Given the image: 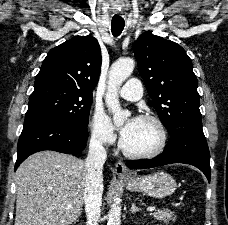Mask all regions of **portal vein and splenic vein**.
Segmentation results:
<instances>
[{
	"label": "portal vein and splenic vein",
	"mask_w": 228,
	"mask_h": 225,
	"mask_svg": "<svg viewBox=\"0 0 228 225\" xmlns=\"http://www.w3.org/2000/svg\"><path fill=\"white\" fill-rule=\"evenodd\" d=\"M68 207H71V205H68ZM173 207H183V202H173ZM146 211H156V209L155 207H148Z\"/></svg>",
	"instance_id": "1"
}]
</instances>
